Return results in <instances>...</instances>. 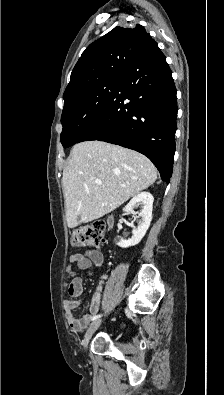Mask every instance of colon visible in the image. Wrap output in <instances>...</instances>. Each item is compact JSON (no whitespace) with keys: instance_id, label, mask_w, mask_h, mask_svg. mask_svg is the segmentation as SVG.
<instances>
[{"instance_id":"1","label":"colon","mask_w":224,"mask_h":395,"mask_svg":"<svg viewBox=\"0 0 224 395\" xmlns=\"http://www.w3.org/2000/svg\"><path fill=\"white\" fill-rule=\"evenodd\" d=\"M104 223L87 226L74 230L69 237L70 243L74 247L89 246L99 248L104 243Z\"/></svg>"}]
</instances>
